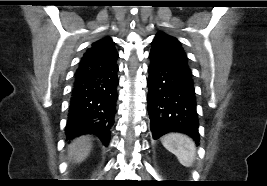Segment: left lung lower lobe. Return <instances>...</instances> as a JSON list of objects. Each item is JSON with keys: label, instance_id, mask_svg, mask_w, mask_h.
<instances>
[{"label": "left lung lower lobe", "instance_id": "1", "mask_svg": "<svg viewBox=\"0 0 267 186\" xmlns=\"http://www.w3.org/2000/svg\"><path fill=\"white\" fill-rule=\"evenodd\" d=\"M148 112L154 139L181 132L199 142L198 114L192 75L150 55Z\"/></svg>", "mask_w": 267, "mask_h": 186}]
</instances>
